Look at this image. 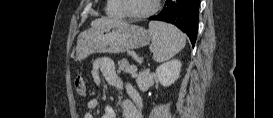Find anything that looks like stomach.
Wrapping results in <instances>:
<instances>
[{"label":"stomach","mask_w":273,"mask_h":118,"mask_svg":"<svg viewBox=\"0 0 273 118\" xmlns=\"http://www.w3.org/2000/svg\"><path fill=\"white\" fill-rule=\"evenodd\" d=\"M150 38L143 27L114 21L81 33L77 40L76 58L84 60L94 53H123L148 45Z\"/></svg>","instance_id":"0dacf381"}]
</instances>
